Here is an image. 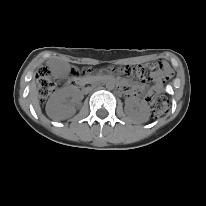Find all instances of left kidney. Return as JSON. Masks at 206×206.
Wrapping results in <instances>:
<instances>
[{
    "label": "left kidney",
    "instance_id": "obj_1",
    "mask_svg": "<svg viewBox=\"0 0 206 206\" xmlns=\"http://www.w3.org/2000/svg\"><path fill=\"white\" fill-rule=\"evenodd\" d=\"M125 111L127 114L138 118L142 122L149 120V106L145 101L139 100L138 98H129L125 105Z\"/></svg>",
    "mask_w": 206,
    "mask_h": 206
}]
</instances>
